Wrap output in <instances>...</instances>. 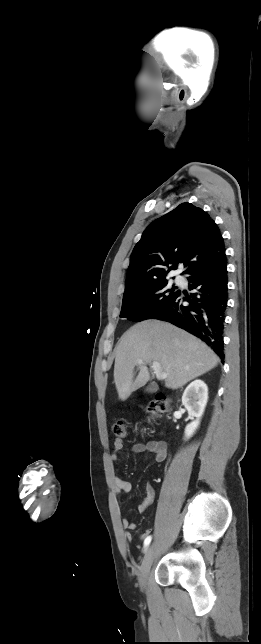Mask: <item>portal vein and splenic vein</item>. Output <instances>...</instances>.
Returning <instances> with one entry per match:
<instances>
[{
	"label": "portal vein and splenic vein",
	"mask_w": 261,
	"mask_h": 644,
	"mask_svg": "<svg viewBox=\"0 0 261 644\" xmlns=\"http://www.w3.org/2000/svg\"><path fill=\"white\" fill-rule=\"evenodd\" d=\"M138 364L139 365L143 364V361L139 360ZM152 369H153L157 379L161 380V379H165L167 377V374L162 372V369H161V366H160L159 362L154 361L152 363Z\"/></svg>",
	"instance_id": "portal-vein-and-splenic-vein-1"
}]
</instances>
